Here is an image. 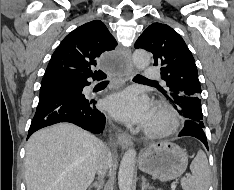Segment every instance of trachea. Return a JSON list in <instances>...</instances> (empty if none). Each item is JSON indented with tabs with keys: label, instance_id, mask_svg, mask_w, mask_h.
<instances>
[{
	"label": "trachea",
	"instance_id": "trachea-1",
	"mask_svg": "<svg viewBox=\"0 0 234 190\" xmlns=\"http://www.w3.org/2000/svg\"><path fill=\"white\" fill-rule=\"evenodd\" d=\"M134 79L152 81V80H149V79L143 77L142 75H136V76L134 77Z\"/></svg>",
	"mask_w": 234,
	"mask_h": 190
}]
</instances>
